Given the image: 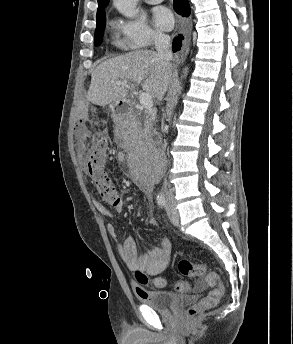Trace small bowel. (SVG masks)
I'll use <instances>...</instances> for the list:
<instances>
[{
	"label": "small bowel",
	"mask_w": 293,
	"mask_h": 344,
	"mask_svg": "<svg viewBox=\"0 0 293 344\" xmlns=\"http://www.w3.org/2000/svg\"><path fill=\"white\" fill-rule=\"evenodd\" d=\"M99 136H102V134H99ZM76 138L78 148L84 150L91 136L84 133H78ZM96 208L102 215L111 216V211L104 204L97 202ZM123 208L124 202L121 199L117 205V210L121 211ZM149 223L153 226L157 225L154 218H152ZM107 231L113 240L117 239L118 233L114 224H108ZM116 248L118 254L128 268L144 271L150 276H157L165 270L170 260L172 250L171 242L167 237H161L159 246L142 256L138 254L137 243L133 238H127L123 243L117 242ZM178 289L182 292H187L189 287L186 283H182V286L178 287ZM134 291L139 298L143 297L146 292L145 289L139 286L135 287Z\"/></svg>",
	"instance_id": "obj_1"
}]
</instances>
